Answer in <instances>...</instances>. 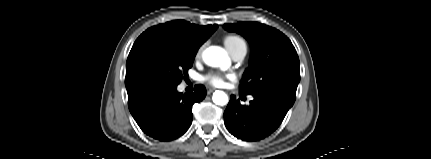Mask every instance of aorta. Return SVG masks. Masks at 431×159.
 <instances>
[{
	"mask_svg": "<svg viewBox=\"0 0 431 159\" xmlns=\"http://www.w3.org/2000/svg\"><path fill=\"white\" fill-rule=\"evenodd\" d=\"M204 62L213 67L222 66L228 62L227 53L218 46H211L203 52ZM216 105L224 106L228 103V96L223 91H215L212 97Z\"/></svg>",
	"mask_w": 431,
	"mask_h": 159,
	"instance_id": "1",
	"label": "aorta"
}]
</instances>
